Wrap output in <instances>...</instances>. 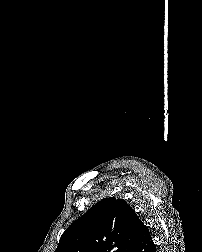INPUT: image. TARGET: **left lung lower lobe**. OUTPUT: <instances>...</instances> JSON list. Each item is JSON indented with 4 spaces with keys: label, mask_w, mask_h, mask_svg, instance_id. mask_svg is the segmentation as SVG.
I'll return each instance as SVG.
<instances>
[{
    "label": "left lung lower lobe",
    "mask_w": 202,
    "mask_h": 252,
    "mask_svg": "<svg viewBox=\"0 0 202 252\" xmlns=\"http://www.w3.org/2000/svg\"><path fill=\"white\" fill-rule=\"evenodd\" d=\"M133 252H156V246L153 243L152 237L143 222H141L138 227L136 243Z\"/></svg>",
    "instance_id": "left-lung-lower-lobe-1"
}]
</instances>
